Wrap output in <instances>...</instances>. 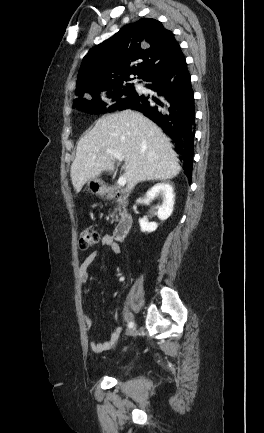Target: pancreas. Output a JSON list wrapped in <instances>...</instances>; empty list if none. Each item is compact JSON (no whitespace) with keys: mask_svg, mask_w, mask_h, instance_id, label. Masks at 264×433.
Returning <instances> with one entry per match:
<instances>
[{"mask_svg":"<svg viewBox=\"0 0 264 433\" xmlns=\"http://www.w3.org/2000/svg\"><path fill=\"white\" fill-rule=\"evenodd\" d=\"M125 207H126L125 205H122V206H118L117 208H115V211L110 215L112 218V222L118 221L119 215H122L121 211H125Z\"/></svg>","mask_w":264,"mask_h":433,"instance_id":"1","label":"pancreas"}]
</instances>
